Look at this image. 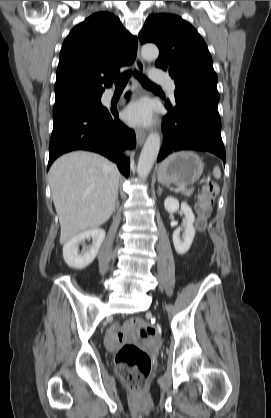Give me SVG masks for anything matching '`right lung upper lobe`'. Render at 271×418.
<instances>
[{
    "instance_id": "1",
    "label": "right lung upper lobe",
    "mask_w": 271,
    "mask_h": 418,
    "mask_svg": "<svg viewBox=\"0 0 271 418\" xmlns=\"http://www.w3.org/2000/svg\"><path fill=\"white\" fill-rule=\"evenodd\" d=\"M137 38L109 12H98L75 26L65 39L55 83L56 102L102 95L110 77L136 58Z\"/></svg>"
}]
</instances>
